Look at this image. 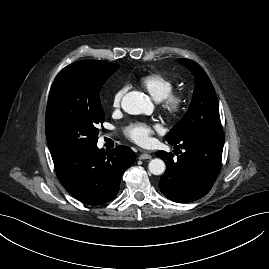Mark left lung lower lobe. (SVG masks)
<instances>
[{
	"instance_id": "1",
	"label": "left lung lower lobe",
	"mask_w": 269,
	"mask_h": 269,
	"mask_svg": "<svg viewBox=\"0 0 269 269\" xmlns=\"http://www.w3.org/2000/svg\"><path fill=\"white\" fill-rule=\"evenodd\" d=\"M171 145L185 152L175 160L172 153H156L166 163L165 174L159 181L162 194L178 203L203 197L212 188L221 169L223 130H200Z\"/></svg>"
}]
</instances>
